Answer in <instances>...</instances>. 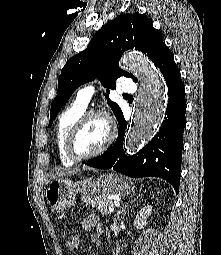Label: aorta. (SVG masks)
Masks as SVG:
<instances>
[{
	"label": "aorta",
	"instance_id": "1",
	"mask_svg": "<svg viewBox=\"0 0 221 255\" xmlns=\"http://www.w3.org/2000/svg\"><path fill=\"white\" fill-rule=\"evenodd\" d=\"M121 67L132 72L140 82L131 126L124 144L126 153L132 155L156 134L162 124L166 87L153 64L141 53H127L121 59Z\"/></svg>",
	"mask_w": 221,
	"mask_h": 255
}]
</instances>
